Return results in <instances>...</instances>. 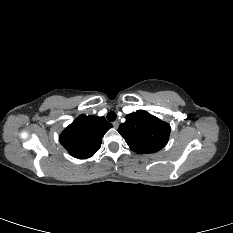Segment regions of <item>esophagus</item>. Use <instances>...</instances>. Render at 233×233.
<instances>
[{
	"label": "esophagus",
	"mask_w": 233,
	"mask_h": 233,
	"mask_svg": "<svg viewBox=\"0 0 233 233\" xmlns=\"http://www.w3.org/2000/svg\"><path fill=\"white\" fill-rule=\"evenodd\" d=\"M112 124H113L114 128H118L119 127V122L118 121H114Z\"/></svg>",
	"instance_id": "obj_1"
}]
</instances>
